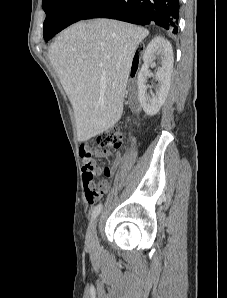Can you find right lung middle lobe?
Returning <instances> with one entry per match:
<instances>
[{
    "label": "right lung middle lobe",
    "instance_id": "dd1d6c3e",
    "mask_svg": "<svg viewBox=\"0 0 227 298\" xmlns=\"http://www.w3.org/2000/svg\"><path fill=\"white\" fill-rule=\"evenodd\" d=\"M101 0H43L46 12L43 36L48 41L67 26L81 20Z\"/></svg>",
    "mask_w": 227,
    "mask_h": 298
}]
</instances>
